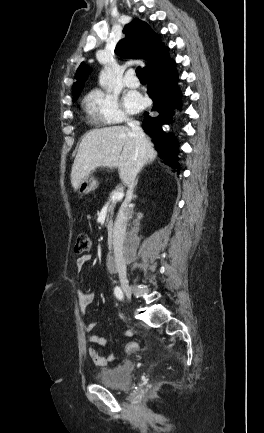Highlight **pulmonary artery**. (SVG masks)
<instances>
[{"mask_svg":"<svg viewBox=\"0 0 264 433\" xmlns=\"http://www.w3.org/2000/svg\"><path fill=\"white\" fill-rule=\"evenodd\" d=\"M124 84L130 88H136L139 86V80L134 75L132 69H129L124 76Z\"/></svg>","mask_w":264,"mask_h":433,"instance_id":"pulmonary-artery-1","label":"pulmonary artery"}]
</instances>
